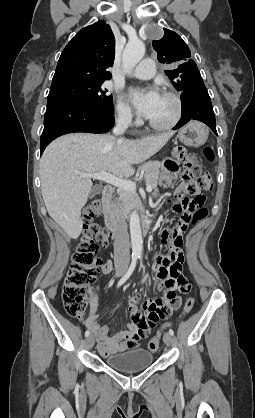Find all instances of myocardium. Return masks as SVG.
<instances>
[{
	"instance_id": "1",
	"label": "myocardium",
	"mask_w": 255,
	"mask_h": 418,
	"mask_svg": "<svg viewBox=\"0 0 255 418\" xmlns=\"http://www.w3.org/2000/svg\"><path fill=\"white\" fill-rule=\"evenodd\" d=\"M162 95L173 100L175 104V112H174L173 117L167 123H164V124H159L151 120H148L149 127L157 131H166L175 127L180 121L182 117V113H183V102L178 93L172 90H165L162 93Z\"/></svg>"
}]
</instances>
